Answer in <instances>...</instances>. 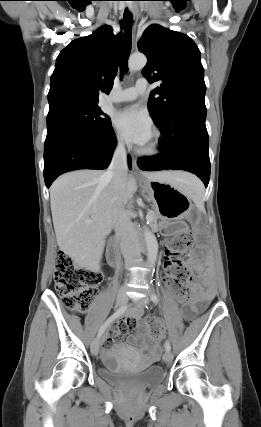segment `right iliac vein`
Segmentation results:
<instances>
[{"instance_id":"obj_1","label":"right iliac vein","mask_w":261,"mask_h":427,"mask_svg":"<svg viewBox=\"0 0 261 427\" xmlns=\"http://www.w3.org/2000/svg\"><path fill=\"white\" fill-rule=\"evenodd\" d=\"M128 297L125 292L120 291L116 298V306H123L127 303ZM99 338H95L91 343V352L94 356H96L99 352Z\"/></svg>"}]
</instances>
